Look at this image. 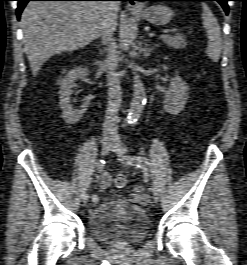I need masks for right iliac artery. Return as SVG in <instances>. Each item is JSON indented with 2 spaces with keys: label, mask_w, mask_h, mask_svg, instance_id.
Listing matches in <instances>:
<instances>
[{
  "label": "right iliac artery",
  "mask_w": 247,
  "mask_h": 265,
  "mask_svg": "<svg viewBox=\"0 0 247 265\" xmlns=\"http://www.w3.org/2000/svg\"><path fill=\"white\" fill-rule=\"evenodd\" d=\"M104 167H105V161L103 159L99 160L97 162V165H96V169H97L98 173H101L103 171ZM91 201L93 202V204L98 203V201H99L98 196L96 194H92L91 195Z\"/></svg>",
  "instance_id": "82829eb1"
}]
</instances>
